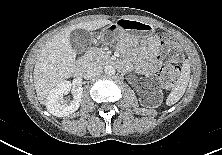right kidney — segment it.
Instances as JSON below:
<instances>
[{
    "label": "right kidney",
    "mask_w": 222,
    "mask_h": 155,
    "mask_svg": "<svg viewBox=\"0 0 222 155\" xmlns=\"http://www.w3.org/2000/svg\"><path fill=\"white\" fill-rule=\"evenodd\" d=\"M71 89V82L65 80L57 84V86L50 91L47 98L46 107L52 115L56 117H64L78 110L83 95V88H73V100L66 103L63 96L68 94Z\"/></svg>",
    "instance_id": "obj_1"
}]
</instances>
